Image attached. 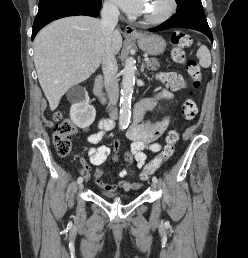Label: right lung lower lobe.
Here are the masks:
<instances>
[{
    "mask_svg": "<svg viewBox=\"0 0 248 258\" xmlns=\"http://www.w3.org/2000/svg\"><path fill=\"white\" fill-rule=\"evenodd\" d=\"M100 6L101 0H49L41 3L33 24L32 40L51 21L76 15L97 17Z\"/></svg>",
    "mask_w": 248,
    "mask_h": 258,
    "instance_id": "obj_1",
    "label": "right lung lower lobe"
}]
</instances>
